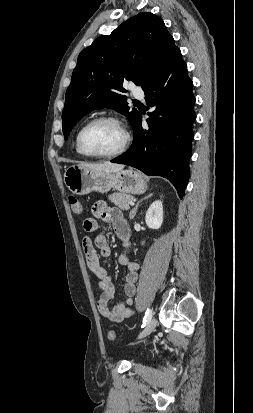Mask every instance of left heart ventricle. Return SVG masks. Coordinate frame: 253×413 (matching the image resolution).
I'll return each mask as SVG.
<instances>
[{
  "label": "left heart ventricle",
  "instance_id": "b2bd125f",
  "mask_svg": "<svg viewBox=\"0 0 253 413\" xmlns=\"http://www.w3.org/2000/svg\"><path fill=\"white\" fill-rule=\"evenodd\" d=\"M123 142L122 131L114 124L101 122L89 127L83 136V144L91 153L103 154L116 151Z\"/></svg>",
  "mask_w": 253,
  "mask_h": 413
}]
</instances>
